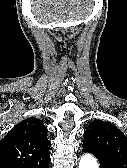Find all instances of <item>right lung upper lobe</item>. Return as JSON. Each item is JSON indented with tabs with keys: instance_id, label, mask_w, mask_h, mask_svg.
I'll use <instances>...</instances> for the list:
<instances>
[{
	"instance_id": "1",
	"label": "right lung upper lobe",
	"mask_w": 127,
	"mask_h": 168,
	"mask_svg": "<svg viewBox=\"0 0 127 168\" xmlns=\"http://www.w3.org/2000/svg\"><path fill=\"white\" fill-rule=\"evenodd\" d=\"M47 128L37 118L18 123L0 140V168L11 165L41 166L50 160Z\"/></svg>"
}]
</instances>
